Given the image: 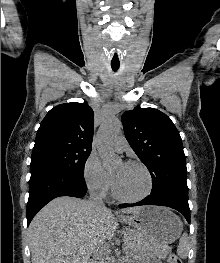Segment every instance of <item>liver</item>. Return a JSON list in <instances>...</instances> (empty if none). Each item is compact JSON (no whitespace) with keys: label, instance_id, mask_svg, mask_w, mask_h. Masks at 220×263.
<instances>
[{"label":"liver","instance_id":"1","mask_svg":"<svg viewBox=\"0 0 220 263\" xmlns=\"http://www.w3.org/2000/svg\"><path fill=\"white\" fill-rule=\"evenodd\" d=\"M141 208H125L122 213ZM117 226L106 207L93 209L89 201L74 197L55 198L29 225L32 263H96L105 255L106 241L113 238Z\"/></svg>","mask_w":220,"mask_h":263}]
</instances>
